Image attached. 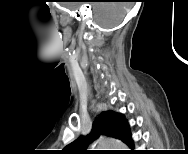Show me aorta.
I'll return each instance as SVG.
<instances>
[{
    "instance_id": "1",
    "label": "aorta",
    "mask_w": 188,
    "mask_h": 154,
    "mask_svg": "<svg viewBox=\"0 0 188 154\" xmlns=\"http://www.w3.org/2000/svg\"><path fill=\"white\" fill-rule=\"evenodd\" d=\"M96 150H125L126 145L117 139H98L93 146Z\"/></svg>"
}]
</instances>
